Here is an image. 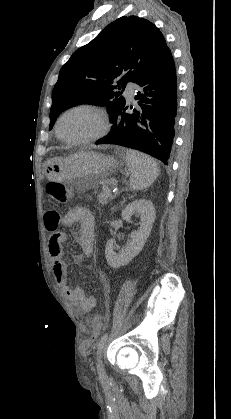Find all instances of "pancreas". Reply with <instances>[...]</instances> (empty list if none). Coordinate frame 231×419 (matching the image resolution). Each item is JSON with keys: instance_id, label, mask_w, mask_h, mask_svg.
I'll return each instance as SVG.
<instances>
[{"instance_id": "cf45deb5", "label": "pancreas", "mask_w": 231, "mask_h": 419, "mask_svg": "<svg viewBox=\"0 0 231 419\" xmlns=\"http://www.w3.org/2000/svg\"><path fill=\"white\" fill-rule=\"evenodd\" d=\"M107 185L102 187V192L98 195V202L103 206L108 201L113 199L111 191L107 188Z\"/></svg>"}]
</instances>
